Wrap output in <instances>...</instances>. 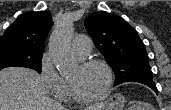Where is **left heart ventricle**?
<instances>
[{"mask_svg": "<svg viewBox=\"0 0 171 110\" xmlns=\"http://www.w3.org/2000/svg\"><path fill=\"white\" fill-rule=\"evenodd\" d=\"M68 79L73 83L81 96L90 97L99 94L105 87L107 75L100 66L82 69L77 66Z\"/></svg>", "mask_w": 171, "mask_h": 110, "instance_id": "b2bd125f", "label": "left heart ventricle"}]
</instances>
